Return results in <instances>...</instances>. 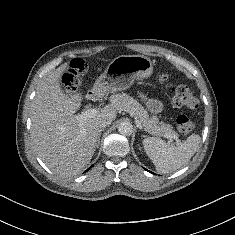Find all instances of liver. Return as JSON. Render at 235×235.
<instances>
[{"instance_id":"obj_1","label":"liver","mask_w":235,"mask_h":235,"mask_svg":"<svg viewBox=\"0 0 235 235\" xmlns=\"http://www.w3.org/2000/svg\"><path fill=\"white\" fill-rule=\"evenodd\" d=\"M66 67L60 66L38 85L32 101L31 135L44 164L54 173L68 177L88 165L97 144L99 121L115 120L116 110L107 105L93 118L78 121L74 113L80 108L81 95L65 94L60 86Z\"/></svg>"}]
</instances>
